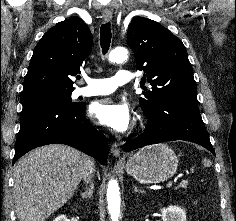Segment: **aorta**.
Wrapping results in <instances>:
<instances>
[{
    "label": "aorta",
    "instance_id": "1",
    "mask_svg": "<svg viewBox=\"0 0 236 221\" xmlns=\"http://www.w3.org/2000/svg\"><path fill=\"white\" fill-rule=\"evenodd\" d=\"M127 57H128L127 49L122 47H117L110 52L109 61L118 63L126 60ZM106 195H107L108 210L111 215V220L118 221L120 215V192L116 180L112 179L109 181Z\"/></svg>",
    "mask_w": 236,
    "mask_h": 221
}]
</instances>
